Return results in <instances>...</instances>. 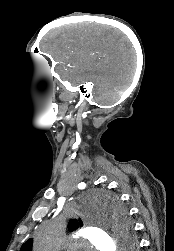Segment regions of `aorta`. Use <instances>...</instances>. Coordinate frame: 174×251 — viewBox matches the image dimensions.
<instances>
[{"mask_svg": "<svg viewBox=\"0 0 174 251\" xmlns=\"http://www.w3.org/2000/svg\"><path fill=\"white\" fill-rule=\"evenodd\" d=\"M87 224L74 238L88 240L100 251H132L131 235L128 230L117 227L116 220L102 215L98 205L93 204L86 212ZM107 230H111L112 237ZM62 243V233L54 225H48L40 232L38 246L41 251H55Z\"/></svg>", "mask_w": 174, "mask_h": 251, "instance_id": "aorta-1", "label": "aorta"}]
</instances>
